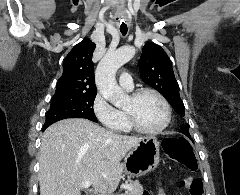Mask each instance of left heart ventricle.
Segmentation results:
<instances>
[{"label": "left heart ventricle", "instance_id": "1", "mask_svg": "<svg viewBox=\"0 0 240 195\" xmlns=\"http://www.w3.org/2000/svg\"><path fill=\"white\" fill-rule=\"evenodd\" d=\"M129 104L128 100L125 107ZM135 111L138 120L144 127L156 128L163 122V106L159 99L151 93H146L140 97L135 105Z\"/></svg>", "mask_w": 240, "mask_h": 195}]
</instances>
